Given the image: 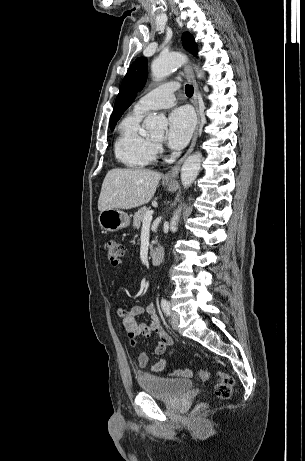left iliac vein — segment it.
<instances>
[{"label": "left iliac vein", "instance_id": "obj_1", "mask_svg": "<svg viewBox=\"0 0 305 461\" xmlns=\"http://www.w3.org/2000/svg\"><path fill=\"white\" fill-rule=\"evenodd\" d=\"M179 314L177 312L171 313V326L174 330H178L179 325Z\"/></svg>", "mask_w": 305, "mask_h": 461}]
</instances>
